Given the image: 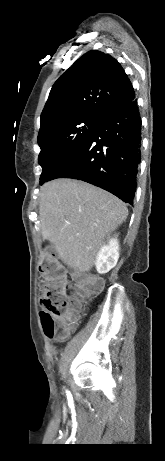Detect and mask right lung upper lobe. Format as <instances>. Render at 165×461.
<instances>
[{"label": "right lung upper lobe", "mask_w": 165, "mask_h": 461, "mask_svg": "<svg viewBox=\"0 0 165 461\" xmlns=\"http://www.w3.org/2000/svg\"><path fill=\"white\" fill-rule=\"evenodd\" d=\"M134 99L133 86L120 63L103 52L89 51L53 85L40 117L39 135L61 120L101 119Z\"/></svg>", "instance_id": "cb5924a9"}]
</instances>
